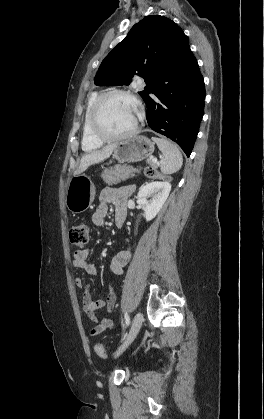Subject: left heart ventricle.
Masks as SVG:
<instances>
[{"instance_id": "1", "label": "left heart ventricle", "mask_w": 264, "mask_h": 419, "mask_svg": "<svg viewBox=\"0 0 264 419\" xmlns=\"http://www.w3.org/2000/svg\"><path fill=\"white\" fill-rule=\"evenodd\" d=\"M136 104L125 96L108 98L100 111L101 127L110 134H121L129 131L137 120Z\"/></svg>"}]
</instances>
